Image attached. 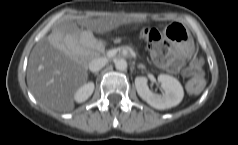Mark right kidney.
<instances>
[{
    "mask_svg": "<svg viewBox=\"0 0 238 145\" xmlns=\"http://www.w3.org/2000/svg\"><path fill=\"white\" fill-rule=\"evenodd\" d=\"M94 91V83L88 82L82 85L74 94V99L78 103L85 102Z\"/></svg>",
    "mask_w": 238,
    "mask_h": 145,
    "instance_id": "ca27d5eb",
    "label": "right kidney"
}]
</instances>
